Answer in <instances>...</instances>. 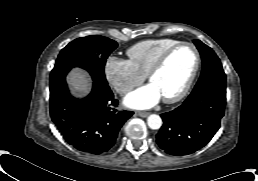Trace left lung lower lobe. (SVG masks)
I'll return each instance as SVG.
<instances>
[{
    "instance_id": "0a47b994",
    "label": "left lung lower lobe",
    "mask_w": 258,
    "mask_h": 181,
    "mask_svg": "<svg viewBox=\"0 0 258 181\" xmlns=\"http://www.w3.org/2000/svg\"><path fill=\"white\" fill-rule=\"evenodd\" d=\"M226 104V84L210 82L193 90L181 106L161 114L156 136L159 147L171 155H189L204 147L220 127Z\"/></svg>"
}]
</instances>
